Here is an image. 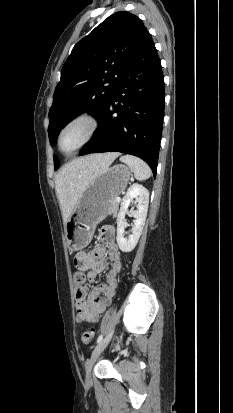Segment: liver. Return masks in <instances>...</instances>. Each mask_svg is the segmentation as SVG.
<instances>
[{"mask_svg": "<svg viewBox=\"0 0 233 413\" xmlns=\"http://www.w3.org/2000/svg\"><path fill=\"white\" fill-rule=\"evenodd\" d=\"M118 156V153H106L77 158L64 165L57 173L55 185L64 224L72 214L84 189Z\"/></svg>", "mask_w": 233, "mask_h": 413, "instance_id": "1", "label": "liver"}]
</instances>
